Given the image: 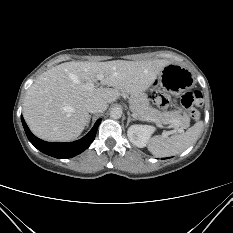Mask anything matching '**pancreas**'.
<instances>
[{
	"mask_svg": "<svg viewBox=\"0 0 233 233\" xmlns=\"http://www.w3.org/2000/svg\"><path fill=\"white\" fill-rule=\"evenodd\" d=\"M131 111L136 119L143 121H157L159 123H173L179 122L178 127L185 128L189 123V117L187 115L179 116L172 114L167 117H163L159 112L149 107L147 99L142 96H132L130 99Z\"/></svg>",
	"mask_w": 233,
	"mask_h": 233,
	"instance_id": "1",
	"label": "pancreas"
}]
</instances>
